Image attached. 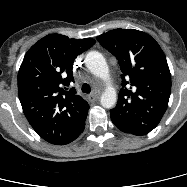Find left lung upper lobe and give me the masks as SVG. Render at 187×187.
<instances>
[{
    "mask_svg": "<svg viewBox=\"0 0 187 187\" xmlns=\"http://www.w3.org/2000/svg\"><path fill=\"white\" fill-rule=\"evenodd\" d=\"M119 61L122 88L111 119L127 132L145 135L163 117L171 93V74L159 44L135 29H114L97 36Z\"/></svg>",
    "mask_w": 187,
    "mask_h": 187,
    "instance_id": "obj_1",
    "label": "left lung upper lobe"
}]
</instances>
